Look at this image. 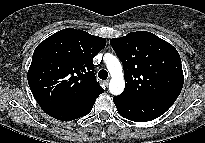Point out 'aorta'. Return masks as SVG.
<instances>
[{
  "label": "aorta",
  "instance_id": "762f6f07",
  "mask_svg": "<svg viewBox=\"0 0 205 143\" xmlns=\"http://www.w3.org/2000/svg\"><path fill=\"white\" fill-rule=\"evenodd\" d=\"M107 69L111 74L109 82V91L113 95H120L125 87L122 66L119 59L112 54H105L104 57Z\"/></svg>",
  "mask_w": 205,
  "mask_h": 143
}]
</instances>
